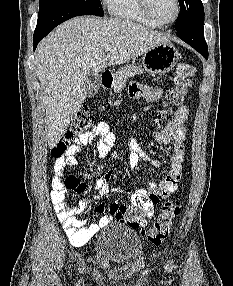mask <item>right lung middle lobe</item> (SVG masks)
Wrapping results in <instances>:
<instances>
[{
	"label": "right lung middle lobe",
	"instance_id": "dd1d6c3e",
	"mask_svg": "<svg viewBox=\"0 0 233 286\" xmlns=\"http://www.w3.org/2000/svg\"><path fill=\"white\" fill-rule=\"evenodd\" d=\"M60 6H70L90 15L104 16L100 0H40L38 18Z\"/></svg>",
	"mask_w": 233,
	"mask_h": 286
}]
</instances>
